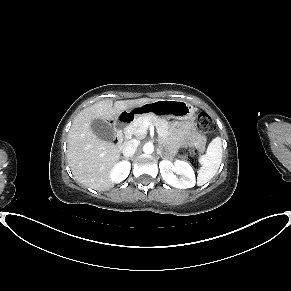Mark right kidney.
<instances>
[{"label": "right kidney", "instance_id": "right-kidney-1", "mask_svg": "<svg viewBox=\"0 0 291 291\" xmlns=\"http://www.w3.org/2000/svg\"><path fill=\"white\" fill-rule=\"evenodd\" d=\"M131 169V164L128 161L118 162L110 171V179L114 183H120L125 180Z\"/></svg>", "mask_w": 291, "mask_h": 291}]
</instances>
